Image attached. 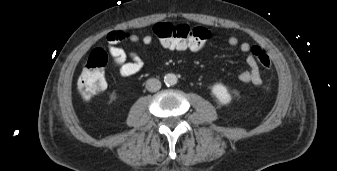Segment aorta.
Listing matches in <instances>:
<instances>
[{
	"mask_svg": "<svg viewBox=\"0 0 337 171\" xmlns=\"http://www.w3.org/2000/svg\"><path fill=\"white\" fill-rule=\"evenodd\" d=\"M177 76L173 73H168L164 76V82L167 86H174L177 84Z\"/></svg>",
	"mask_w": 337,
	"mask_h": 171,
	"instance_id": "762f6f07",
	"label": "aorta"
}]
</instances>
